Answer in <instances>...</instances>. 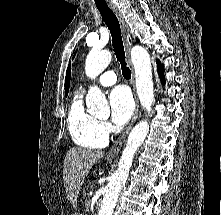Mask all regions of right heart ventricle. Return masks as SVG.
<instances>
[{
	"mask_svg": "<svg viewBox=\"0 0 221 215\" xmlns=\"http://www.w3.org/2000/svg\"><path fill=\"white\" fill-rule=\"evenodd\" d=\"M67 126L73 142L80 147L102 148L107 143V137L100 131V122L86 110L81 92L70 103Z\"/></svg>",
	"mask_w": 221,
	"mask_h": 215,
	"instance_id": "1",
	"label": "right heart ventricle"
}]
</instances>
